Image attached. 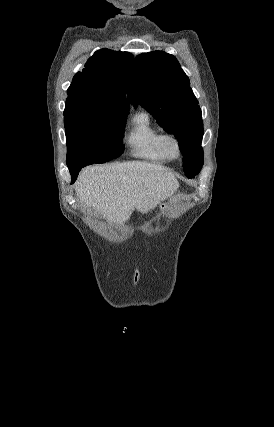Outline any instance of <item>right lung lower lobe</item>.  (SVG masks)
Instances as JSON below:
<instances>
[{"label":"right lung lower lobe","mask_w":274,"mask_h":427,"mask_svg":"<svg viewBox=\"0 0 274 427\" xmlns=\"http://www.w3.org/2000/svg\"><path fill=\"white\" fill-rule=\"evenodd\" d=\"M83 167H84V165H71V166H68L70 174H71V177H72L71 183H73L76 180L79 171Z\"/></svg>","instance_id":"obj_1"}]
</instances>
